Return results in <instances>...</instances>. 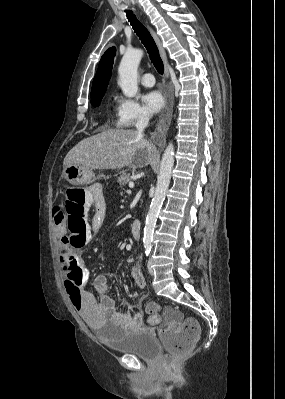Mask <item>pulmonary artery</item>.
I'll use <instances>...</instances> for the list:
<instances>
[{"mask_svg": "<svg viewBox=\"0 0 285 399\" xmlns=\"http://www.w3.org/2000/svg\"><path fill=\"white\" fill-rule=\"evenodd\" d=\"M140 82L143 86L152 87L155 84V80L152 73H144L141 78Z\"/></svg>", "mask_w": 285, "mask_h": 399, "instance_id": "pulmonary-artery-1", "label": "pulmonary artery"}]
</instances>
